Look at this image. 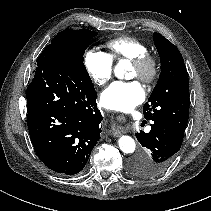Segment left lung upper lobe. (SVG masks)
I'll return each mask as SVG.
<instances>
[{"label":"left lung upper lobe","instance_id":"left-lung-upper-lobe-1","mask_svg":"<svg viewBox=\"0 0 211 211\" xmlns=\"http://www.w3.org/2000/svg\"><path fill=\"white\" fill-rule=\"evenodd\" d=\"M154 44L160 56L161 73L151 96L143 106L147 120H163L185 132L189 118V81L178 48L159 33Z\"/></svg>","mask_w":211,"mask_h":211}]
</instances>
